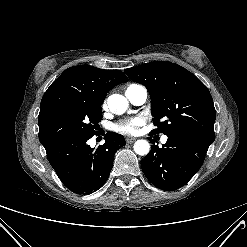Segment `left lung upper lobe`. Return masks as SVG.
<instances>
[{"mask_svg": "<svg viewBox=\"0 0 247 247\" xmlns=\"http://www.w3.org/2000/svg\"><path fill=\"white\" fill-rule=\"evenodd\" d=\"M134 81L146 86L151 97V133H184L212 143L215 108L207 87L191 72L170 62L156 61L125 69Z\"/></svg>", "mask_w": 247, "mask_h": 247, "instance_id": "1", "label": "left lung upper lobe"}]
</instances>
